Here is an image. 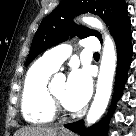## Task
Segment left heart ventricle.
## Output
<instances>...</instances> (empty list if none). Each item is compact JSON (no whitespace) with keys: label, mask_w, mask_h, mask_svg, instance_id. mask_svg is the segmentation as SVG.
<instances>
[{"label":"left heart ventricle","mask_w":136,"mask_h":136,"mask_svg":"<svg viewBox=\"0 0 136 136\" xmlns=\"http://www.w3.org/2000/svg\"><path fill=\"white\" fill-rule=\"evenodd\" d=\"M66 85L65 83H58L51 87L55 96L63 103V96L65 92ZM64 104V103H63Z\"/></svg>","instance_id":"1"}]
</instances>
